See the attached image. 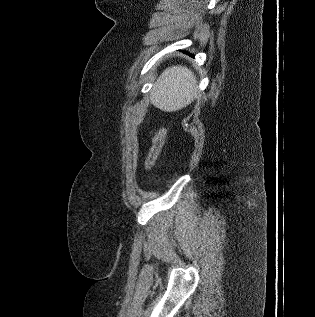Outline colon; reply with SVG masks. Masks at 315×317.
Segmentation results:
<instances>
[{
	"label": "colon",
	"instance_id": "obj_1",
	"mask_svg": "<svg viewBox=\"0 0 315 317\" xmlns=\"http://www.w3.org/2000/svg\"><path fill=\"white\" fill-rule=\"evenodd\" d=\"M166 136H167V129L164 125H161L156 136L153 139L152 146L145 160L144 169L146 172L151 171L155 167L156 162L163 150Z\"/></svg>",
	"mask_w": 315,
	"mask_h": 317
}]
</instances>
